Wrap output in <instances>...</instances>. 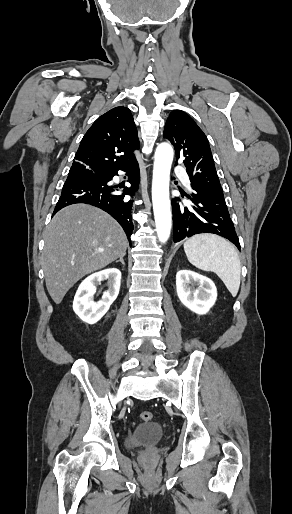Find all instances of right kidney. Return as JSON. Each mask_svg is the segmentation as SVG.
I'll use <instances>...</instances> for the list:
<instances>
[{
	"mask_svg": "<svg viewBox=\"0 0 292 514\" xmlns=\"http://www.w3.org/2000/svg\"><path fill=\"white\" fill-rule=\"evenodd\" d=\"M103 280H108L109 290L103 292L102 300L94 302L96 286H100V282H103ZM120 282L121 272L117 268H108V270H102V272H96V274L88 276L80 284L75 294L73 302L75 314L87 324H96L116 300L120 290Z\"/></svg>",
	"mask_w": 292,
	"mask_h": 514,
	"instance_id": "obj_1",
	"label": "right kidney"
}]
</instances>
